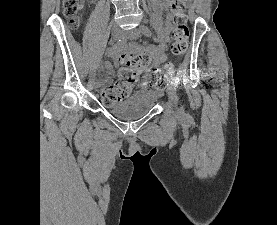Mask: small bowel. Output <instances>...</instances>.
<instances>
[{
  "label": "small bowel",
  "instance_id": "small-bowel-1",
  "mask_svg": "<svg viewBox=\"0 0 277 225\" xmlns=\"http://www.w3.org/2000/svg\"><path fill=\"white\" fill-rule=\"evenodd\" d=\"M173 0H152L153 11L155 14V28L158 32L159 38L161 40V45L159 47L149 46L147 47V52L152 57V67L156 68L166 59L164 53V44L168 41L169 34L172 29L171 24V14L170 7ZM163 14L166 15L165 25L163 26ZM107 55L115 59V64L118 65L121 60L120 50L109 49ZM113 66L111 62L106 61L100 67V72L103 73V79L101 80V85L109 82L112 75Z\"/></svg>",
  "mask_w": 277,
  "mask_h": 225
}]
</instances>
